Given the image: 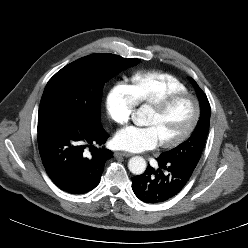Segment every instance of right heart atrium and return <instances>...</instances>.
I'll return each instance as SVG.
<instances>
[{
	"mask_svg": "<svg viewBox=\"0 0 248 248\" xmlns=\"http://www.w3.org/2000/svg\"><path fill=\"white\" fill-rule=\"evenodd\" d=\"M105 104L109 117L118 125L128 123L136 106L128 86L123 83H117L109 89Z\"/></svg>",
	"mask_w": 248,
	"mask_h": 248,
	"instance_id": "obj_1",
	"label": "right heart atrium"
}]
</instances>
